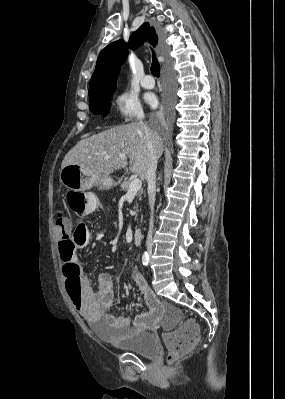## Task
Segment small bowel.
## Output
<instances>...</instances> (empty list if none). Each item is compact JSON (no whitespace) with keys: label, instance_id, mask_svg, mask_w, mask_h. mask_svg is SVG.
<instances>
[{"label":"small bowel","instance_id":"small-bowel-1","mask_svg":"<svg viewBox=\"0 0 285 399\" xmlns=\"http://www.w3.org/2000/svg\"><path fill=\"white\" fill-rule=\"evenodd\" d=\"M86 198V214H92L103 210L100 200L94 193H86ZM57 233L58 236L62 238L68 236L70 230L66 225L57 226ZM64 276L67 296L78 309L81 316L86 320L99 323L105 322L113 330L122 335L129 334L136 330H153L160 327L166 306L157 299L156 295L150 289L145 276L139 269H134L132 271L131 278L144 298L147 311L136 314L132 326L128 318L110 312V309L114 305V291L110 279L102 275H97L95 292L87 276L81 269L80 264H76L75 271L70 272L68 275L64 273ZM68 281L78 283L79 285L80 294L77 304L74 303L67 291L66 283Z\"/></svg>","mask_w":285,"mask_h":399}]
</instances>
